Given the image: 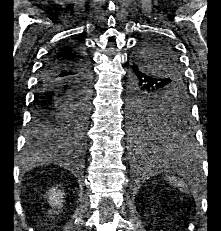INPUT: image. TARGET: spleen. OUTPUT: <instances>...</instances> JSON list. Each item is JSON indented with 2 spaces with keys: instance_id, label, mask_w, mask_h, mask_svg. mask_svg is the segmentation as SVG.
<instances>
[{
  "instance_id": "obj_1",
  "label": "spleen",
  "mask_w": 221,
  "mask_h": 231,
  "mask_svg": "<svg viewBox=\"0 0 221 231\" xmlns=\"http://www.w3.org/2000/svg\"><path fill=\"white\" fill-rule=\"evenodd\" d=\"M167 179L170 182V184H173L174 186L180 188L181 191H184V192L187 191V186L184 181L177 180L176 177H168Z\"/></svg>"
}]
</instances>
